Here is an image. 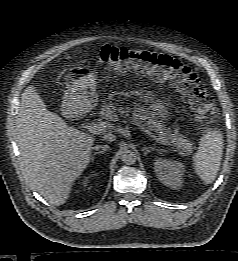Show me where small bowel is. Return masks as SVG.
I'll return each instance as SVG.
<instances>
[{
    "instance_id": "small-bowel-1",
    "label": "small bowel",
    "mask_w": 238,
    "mask_h": 261,
    "mask_svg": "<svg viewBox=\"0 0 238 261\" xmlns=\"http://www.w3.org/2000/svg\"><path fill=\"white\" fill-rule=\"evenodd\" d=\"M154 109L158 112V113H163L164 112V106L161 102H155L153 105Z\"/></svg>"
}]
</instances>
